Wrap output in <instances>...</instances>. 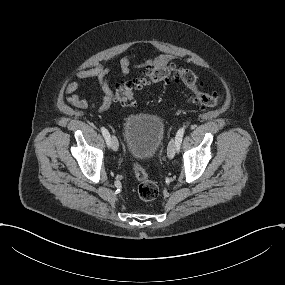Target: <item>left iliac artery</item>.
Segmentation results:
<instances>
[{"instance_id": "obj_1", "label": "left iliac artery", "mask_w": 285, "mask_h": 285, "mask_svg": "<svg viewBox=\"0 0 285 285\" xmlns=\"http://www.w3.org/2000/svg\"><path fill=\"white\" fill-rule=\"evenodd\" d=\"M184 132H185V128L183 127V128H180L176 134L175 141H176L178 150L180 148Z\"/></svg>"}]
</instances>
